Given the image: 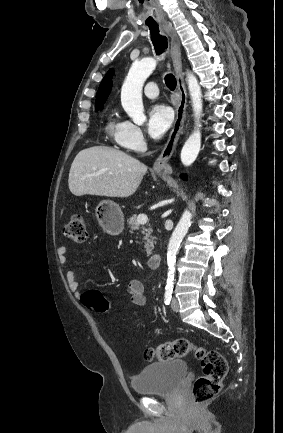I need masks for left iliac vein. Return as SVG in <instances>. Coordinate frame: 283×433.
Wrapping results in <instances>:
<instances>
[{"mask_svg": "<svg viewBox=\"0 0 283 433\" xmlns=\"http://www.w3.org/2000/svg\"><path fill=\"white\" fill-rule=\"evenodd\" d=\"M171 307H172V309H173L174 312H178L179 311V303H178V300L176 298H174L172 300Z\"/></svg>", "mask_w": 283, "mask_h": 433, "instance_id": "left-iliac-vein-1", "label": "left iliac vein"}]
</instances>
